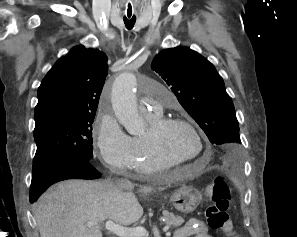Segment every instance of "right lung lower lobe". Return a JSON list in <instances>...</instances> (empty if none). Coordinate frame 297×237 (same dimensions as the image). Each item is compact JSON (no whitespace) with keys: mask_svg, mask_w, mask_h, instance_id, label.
Instances as JSON below:
<instances>
[{"mask_svg":"<svg viewBox=\"0 0 297 237\" xmlns=\"http://www.w3.org/2000/svg\"><path fill=\"white\" fill-rule=\"evenodd\" d=\"M101 174L87 159L61 157L50 161L31 182L30 201L37 200L51 185L68 179H99Z\"/></svg>","mask_w":297,"mask_h":237,"instance_id":"obj_1","label":"right lung lower lobe"}]
</instances>
